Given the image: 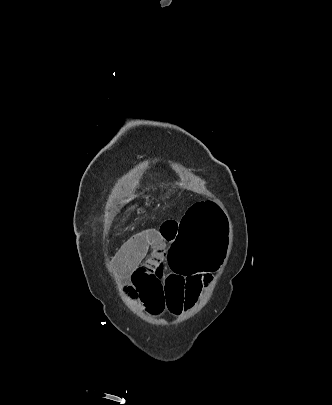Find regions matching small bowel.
<instances>
[{"mask_svg": "<svg viewBox=\"0 0 332 405\" xmlns=\"http://www.w3.org/2000/svg\"><path fill=\"white\" fill-rule=\"evenodd\" d=\"M140 217L143 210L138 208ZM176 221L163 222L158 228L133 235L114 254L112 260L118 272L129 279L140 292L149 320H160L167 310L179 315L197 301L211 275H177L167 269L169 249L176 240Z\"/></svg>", "mask_w": 332, "mask_h": 405, "instance_id": "obj_1", "label": "small bowel"}]
</instances>
